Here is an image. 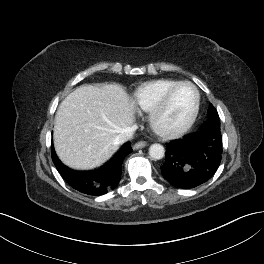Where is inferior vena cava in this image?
Returning <instances> with one entry per match:
<instances>
[{"label":"inferior vena cava","instance_id":"obj_1","mask_svg":"<svg viewBox=\"0 0 264 264\" xmlns=\"http://www.w3.org/2000/svg\"><path fill=\"white\" fill-rule=\"evenodd\" d=\"M136 130V126H131L125 128L114 140L116 145L123 144L128 140L133 138L134 131Z\"/></svg>","mask_w":264,"mask_h":264}]
</instances>
